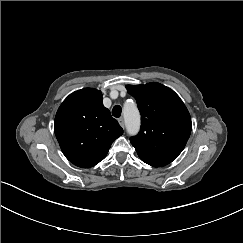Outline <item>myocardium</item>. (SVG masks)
I'll return each instance as SVG.
<instances>
[{
  "label": "myocardium",
  "mask_w": 243,
  "mask_h": 243,
  "mask_svg": "<svg viewBox=\"0 0 243 243\" xmlns=\"http://www.w3.org/2000/svg\"><path fill=\"white\" fill-rule=\"evenodd\" d=\"M130 104H131L130 101H128V102H127V105H130Z\"/></svg>",
  "instance_id": "1"
}]
</instances>
